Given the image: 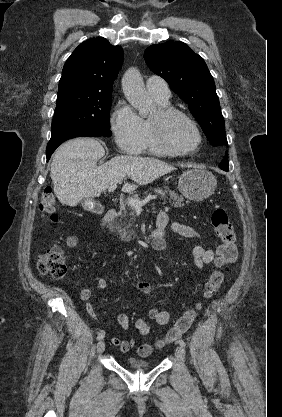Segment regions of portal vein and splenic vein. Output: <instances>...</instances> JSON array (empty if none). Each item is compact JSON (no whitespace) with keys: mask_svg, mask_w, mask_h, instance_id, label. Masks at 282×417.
Masks as SVG:
<instances>
[{"mask_svg":"<svg viewBox=\"0 0 282 417\" xmlns=\"http://www.w3.org/2000/svg\"><path fill=\"white\" fill-rule=\"evenodd\" d=\"M115 188H117V184H111V186H109L108 188V192H112V190H115ZM153 199H154V196L150 195V196H146L144 200H139V198H128L127 202L128 204H131V206H134V210L137 213H142L145 210V207L143 206V204H146L148 200H153Z\"/></svg>","mask_w":282,"mask_h":417,"instance_id":"portal-vein-and-splenic-vein-1","label":"portal vein and splenic vein"}]
</instances>
